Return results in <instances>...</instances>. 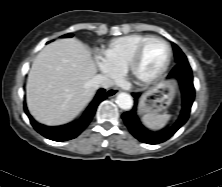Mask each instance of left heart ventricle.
Instances as JSON below:
<instances>
[{"mask_svg": "<svg viewBox=\"0 0 222 187\" xmlns=\"http://www.w3.org/2000/svg\"><path fill=\"white\" fill-rule=\"evenodd\" d=\"M168 56L167 46L159 41L152 42L144 51L138 73L142 77H151L164 66Z\"/></svg>", "mask_w": 222, "mask_h": 187, "instance_id": "b2bd125f", "label": "left heart ventricle"}]
</instances>
